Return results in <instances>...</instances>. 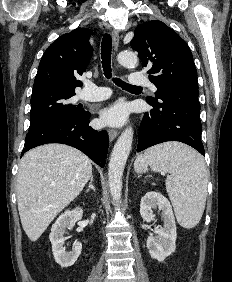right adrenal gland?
I'll return each mask as SVG.
<instances>
[{
    "label": "right adrenal gland",
    "mask_w": 232,
    "mask_h": 282,
    "mask_svg": "<svg viewBox=\"0 0 232 282\" xmlns=\"http://www.w3.org/2000/svg\"><path fill=\"white\" fill-rule=\"evenodd\" d=\"M92 181H93V176H91L90 178L89 186L88 189L86 190V193H88L90 190H93L95 192V187L93 186Z\"/></svg>",
    "instance_id": "obj_1"
}]
</instances>
